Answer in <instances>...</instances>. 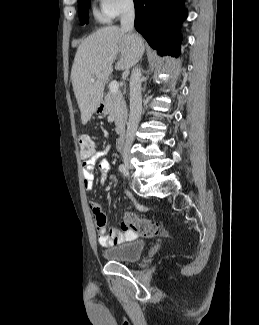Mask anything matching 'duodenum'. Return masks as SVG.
Instances as JSON below:
<instances>
[{
	"label": "duodenum",
	"mask_w": 259,
	"mask_h": 325,
	"mask_svg": "<svg viewBox=\"0 0 259 325\" xmlns=\"http://www.w3.org/2000/svg\"><path fill=\"white\" fill-rule=\"evenodd\" d=\"M125 142H126V135L125 133H123L116 141V148L118 151H122L124 149Z\"/></svg>",
	"instance_id": "duodenum-1"
}]
</instances>
